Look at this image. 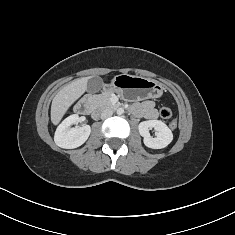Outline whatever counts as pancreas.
I'll use <instances>...</instances> for the list:
<instances>
[{
  "label": "pancreas",
  "instance_id": "obj_1",
  "mask_svg": "<svg viewBox=\"0 0 235 235\" xmlns=\"http://www.w3.org/2000/svg\"><path fill=\"white\" fill-rule=\"evenodd\" d=\"M111 92H104L102 94L94 95L91 99L94 105L99 107H110L113 106L111 103Z\"/></svg>",
  "mask_w": 235,
  "mask_h": 235
}]
</instances>
